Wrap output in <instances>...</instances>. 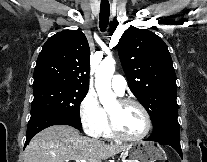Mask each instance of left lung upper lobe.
<instances>
[{"instance_id": "5c2ea615", "label": "left lung upper lobe", "mask_w": 207, "mask_h": 162, "mask_svg": "<svg viewBox=\"0 0 207 162\" xmlns=\"http://www.w3.org/2000/svg\"><path fill=\"white\" fill-rule=\"evenodd\" d=\"M118 53L129 87L153 125L177 117L176 75L164 41L149 30L132 26L121 36Z\"/></svg>"}]
</instances>
